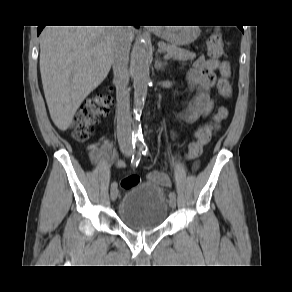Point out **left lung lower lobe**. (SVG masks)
Listing matches in <instances>:
<instances>
[{
    "instance_id": "1",
    "label": "left lung lower lobe",
    "mask_w": 292,
    "mask_h": 292,
    "mask_svg": "<svg viewBox=\"0 0 292 292\" xmlns=\"http://www.w3.org/2000/svg\"><path fill=\"white\" fill-rule=\"evenodd\" d=\"M239 28L241 29V31L243 32V27L242 26H239Z\"/></svg>"
}]
</instances>
